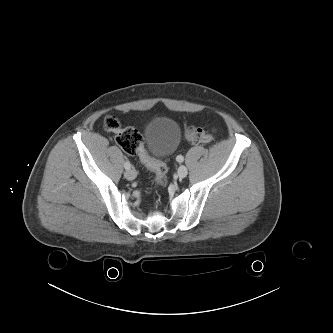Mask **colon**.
Masks as SVG:
<instances>
[{
	"instance_id": "5ec220e1",
	"label": "colon",
	"mask_w": 333,
	"mask_h": 333,
	"mask_svg": "<svg viewBox=\"0 0 333 333\" xmlns=\"http://www.w3.org/2000/svg\"><path fill=\"white\" fill-rule=\"evenodd\" d=\"M104 129L115 135L116 143L129 155H136L141 162L155 174V182L158 186L167 183V168L165 164L153 160L144 148V139L141 133L132 127L122 128L115 116H107L104 120ZM185 138L193 143L207 142L212 134L203 129L189 125L184 131Z\"/></svg>"
}]
</instances>
